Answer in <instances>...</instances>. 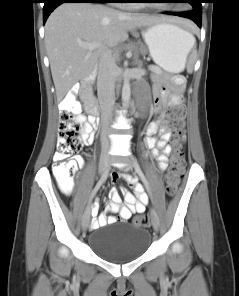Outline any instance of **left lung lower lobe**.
Returning <instances> with one entry per match:
<instances>
[{
    "label": "left lung lower lobe",
    "instance_id": "left-lung-lower-lobe-1",
    "mask_svg": "<svg viewBox=\"0 0 239 296\" xmlns=\"http://www.w3.org/2000/svg\"><path fill=\"white\" fill-rule=\"evenodd\" d=\"M164 13L191 19L201 28L202 12L197 11L194 8H191L189 11H186V12H164Z\"/></svg>",
    "mask_w": 239,
    "mask_h": 296
}]
</instances>
